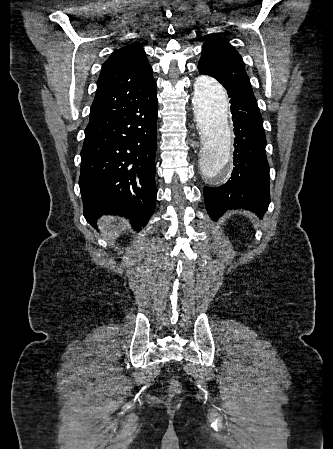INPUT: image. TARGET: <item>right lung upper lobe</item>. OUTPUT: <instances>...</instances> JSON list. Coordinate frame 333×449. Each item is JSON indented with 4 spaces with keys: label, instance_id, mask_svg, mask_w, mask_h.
<instances>
[{
    "label": "right lung upper lobe",
    "instance_id": "right-lung-upper-lobe-1",
    "mask_svg": "<svg viewBox=\"0 0 333 449\" xmlns=\"http://www.w3.org/2000/svg\"><path fill=\"white\" fill-rule=\"evenodd\" d=\"M155 88L152 67L143 47L138 44L121 47L102 66L89 121L121 110Z\"/></svg>",
    "mask_w": 333,
    "mask_h": 449
}]
</instances>
